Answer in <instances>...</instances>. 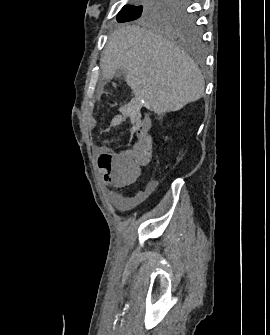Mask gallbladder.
Segmentation results:
<instances>
[{
    "mask_svg": "<svg viewBox=\"0 0 270 335\" xmlns=\"http://www.w3.org/2000/svg\"><path fill=\"white\" fill-rule=\"evenodd\" d=\"M117 76H125L124 70H118Z\"/></svg>",
    "mask_w": 270,
    "mask_h": 335,
    "instance_id": "gallbladder-1",
    "label": "gallbladder"
}]
</instances>
